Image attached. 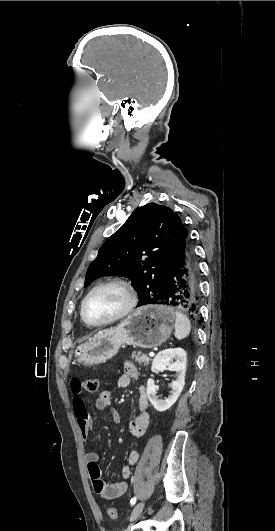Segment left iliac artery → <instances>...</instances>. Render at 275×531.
<instances>
[{"mask_svg": "<svg viewBox=\"0 0 275 531\" xmlns=\"http://www.w3.org/2000/svg\"><path fill=\"white\" fill-rule=\"evenodd\" d=\"M136 500H137L136 497H133V498L130 500V504H131V506L135 505Z\"/></svg>", "mask_w": 275, "mask_h": 531, "instance_id": "1", "label": "left iliac artery"}]
</instances>
